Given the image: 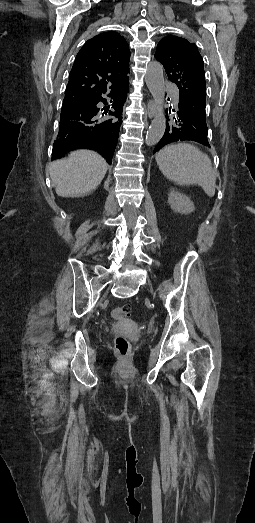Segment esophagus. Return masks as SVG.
Wrapping results in <instances>:
<instances>
[{
    "instance_id": "1",
    "label": "esophagus",
    "mask_w": 255,
    "mask_h": 523,
    "mask_svg": "<svg viewBox=\"0 0 255 523\" xmlns=\"http://www.w3.org/2000/svg\"><path fill=\"white\" fill-rule=\"evenodd\" d=\"M156 111V102L154 100H149L146 108V114L148 118H153V116L156 114Z\"/></svg>"
}]
</instances>
